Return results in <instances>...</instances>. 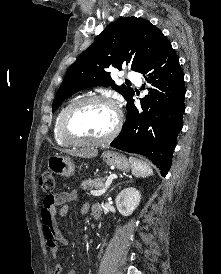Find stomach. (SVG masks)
<instances>
[{
    "mask_svg": "<svg viewBox=\"0 0 221 274\" xmlns=\"http://www.w3.org/2000/svg\"><path fill=\"white\" fill-rule=\"evenodd\" d=\"M102 158L107 165L114 166L122 171H128L131 167L130 162L124 155L113 151H104ZM48 168L53 173L62 177H70L75 172L72 159L69 156L59 154H55L48 159Z\"/></svg>",
    "mask_w": 221,
    "mask_h": 274,
    "instance_id": "stomach-1",
    "label": "stomach"
}]
</instances>
